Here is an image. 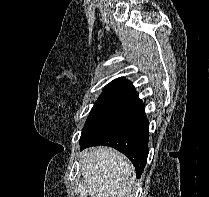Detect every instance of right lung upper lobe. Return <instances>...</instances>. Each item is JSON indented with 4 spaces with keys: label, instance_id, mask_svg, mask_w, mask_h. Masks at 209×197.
<instances>
[{
    "label": "right lung upper lobe",
    "instance_id": "obj_1",
    "mask_svg": "<svg viewBox=\"0 0 209 197\" xmlns=\"http://www.w3.org/2000/svg\"><path fill=\"white\" fill-rule=\"evenodd\" d=\"M110 84L118 85V86L128 88V89H131V90H135L132 82L126 80L123 77L113 80Z\"/></svg>",
    "mask_w": 209,
    "mask_h": 197
}]
</instances>
